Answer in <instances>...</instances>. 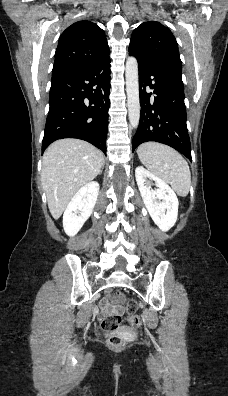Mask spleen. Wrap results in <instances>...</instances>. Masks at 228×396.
I'll list each match as a JSON object with an SVG mask.
<instances>
[{"instance_id": "1", "label": "spleen", "mask_w": 228, "mask_h": 396, "mask_svg": "<svg viewBox=\"0 0 228 396\" xmlns=\"http://www.w3.org/2000/svg\"><path fill=\"white\" fill-rule=\"evenodd\" d=\"M137 154L148 170L169 183L179 196L188 195L191 185L190 169L176 150L157 142H145L138 147Z\"/></svg>"}]
</instances>
